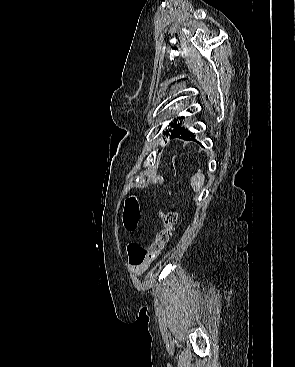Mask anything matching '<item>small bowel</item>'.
Returning <instances> with one entry per match:
<instances>
[{
    "label": "small bowel",
    "instance_id": "1",
    "mask_svg": "<svg viewBox=\"0 0 295 367\" xmlns=\"http://www.w3.org/2000/svg\"><path fill=\"white\" fill-rule=\"evenodd\" d=\"M150 264L144 263L142 265H132L131 264V268L132 271L136 274V275H142L143 273H145V271L148 269Z\"/></svg>",
    "mask_w": 295,
    "mask_h": 367
}]
</instances>
